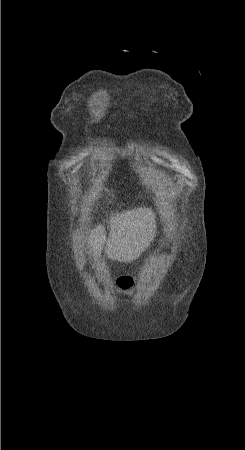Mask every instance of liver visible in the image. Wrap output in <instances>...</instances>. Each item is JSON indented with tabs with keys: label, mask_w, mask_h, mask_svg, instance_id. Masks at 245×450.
<instances>
[{
	"label": "liver",
	"mask_w": 245,
	"mask_h": 450,
	"mask_svg": "<svg viewBox=\"0 0 245 450\" xmlns=\"http://www.w3.org/2000/svg\"><path fill=\"white\" fill-rule=\"evenodd\" d=\"M110 232L98 224L88 236L90 252L98 256L103 246L111 260L131 262L149 247L155 234V214L151 208L139 207L110 216Z\"/></svg>",
	"instance_id": "obj_1"
}]
</instances>
